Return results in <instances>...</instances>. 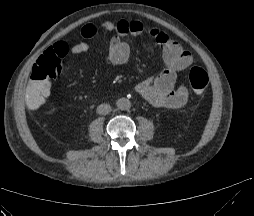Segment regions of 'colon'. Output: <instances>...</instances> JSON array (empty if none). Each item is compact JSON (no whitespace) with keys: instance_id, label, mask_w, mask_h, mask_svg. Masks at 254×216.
Here are the masks:
<instances>
[{"instance_id":"obj_1","label":"colon","mask_w":254,"mask_h":216,"mask_svg":"<svg viewBox=\"0 0 254 216\" xmlns=\"http://www.w3.org/2000/svg\"><path fill=\"white\" fill-rule=\"evenodd\" d=\"M64 47V44L58 46L60 51ZM63 58L62 53L47 50L33 65L22 95V102L27 110L37 112L45 107L51 89L50 80L60 73ZM189 82L196 94H203L208 85V74L201 67H192Z\"/></svg>"}]
</instances>
